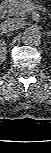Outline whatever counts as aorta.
Instances as JSON below:
<instances>
[{"label":"aorta","instance_id":"762f6f07","mask_svg":"<svg viewBox=\"0 0 51 153\" xmlns=\"http://www.w3.org/2000/svg\"><path fill=\"white\" fill-rule=\"evenodd\" d=\"M41 31L38 26H29L22 33V41L26 44L35 45L40 42Z\"/></svg>","mask_w":51,"mask_h":153}]
</instances>
